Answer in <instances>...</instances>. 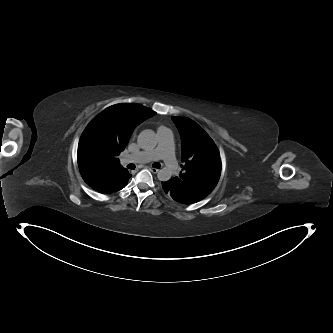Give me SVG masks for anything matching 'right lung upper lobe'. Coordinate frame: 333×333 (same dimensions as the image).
Here are the masks:
<instances>
[{
    "mask_svg": "<svg viewBox=\"0 0 333 333\" xmlns=\"http://www.w3.org/2000/svg\"><path fill=\"white\" fill-rule=\"evenodd\" d=\"M155 114L156 112L138 104L120 103L106 108L99 116L105 117L109 126L115 130L116 152L119 155L128 144L135 127ZM118 155L108 156L96 164L94 172L100 180L109 177L118 179L128 173V170L120 165Z\"/></svg>",
    "mask_w": 333,
    "mask_h": 333,
    "instance_id": "obj_1",
    "label": "right lung upper lobe"
}]
</instances>
